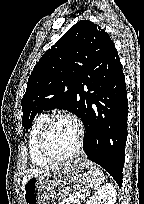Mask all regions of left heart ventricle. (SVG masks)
<instances>
[{
    "label": "left heart ventricle",
    "instance_id": "left-heart-ventricle-1",
    "mask_svg": "<svg viewBox=\"0 0 144 204\" xmlns=\"http://www.w3.org/2000/svg\"><path fill=\"white\" fill-rule=\"evenodd\" d=\"M78 140L77 129L73 122L60 119L51 126L46 140L48 150L55 156L72 153Z\"/></svg>",
    "mask_w": 144,
    "mask_h": 204
}]
</instances>
